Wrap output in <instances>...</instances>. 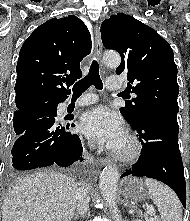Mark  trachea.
Instances as JSON below:
<instances>
[{"label": "trachea", "mask_w": 190, "mask_h": 221, "mask_svg": "<svg viewBox=\"0 0 190 221\" xmlns=\"http://www.w3.org/2000/svg\"><path fill=\"white\" fill-rule=\"evenodd\" d=\"M91 85H94L98 90L103 89V83L99 75V65L96 60H93L88 75L73 85V95L80 96Z\"/></svg>", "instance_id": "1"}]
</instances>
